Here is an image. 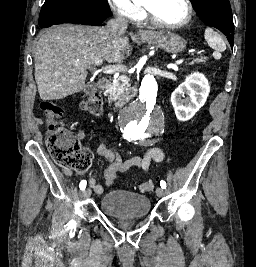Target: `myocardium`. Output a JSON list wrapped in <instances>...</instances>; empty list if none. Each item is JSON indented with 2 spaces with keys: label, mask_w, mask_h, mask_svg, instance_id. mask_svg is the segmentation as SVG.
<instances>
[{
  "label": "myocardium",
  "mask_w": 256,
  "mask_h": 267,
  "mask_svg": "<svg viewBox=\"0 0 256 267\" xmlns=\"http://www.w3.org/2000/svg\"><path fill=\"white\" fill-rule=\"evenodd\" d=\"M169 1L177 2L185 8V10H186L185 18L180 22L171 23V24H167L165 26H160V27L165 29V30H176V29H179V28L187 25L193 16V8H192V5L190 4V2L188 0H169Z\"/></svg>",
  "instance_id": "1"
}]
</instances>
